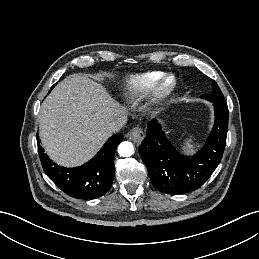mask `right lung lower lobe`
<instances>
[{
	"instance_id": "98d812e1",
	"label": "right lung lower lobe",
	"mask_w": 259,
	"mask_h": 259,
	"mask_svg": "<svg viewBox=\"0 0 259 259\" xmlns=\"http://www.w3.org/2000/svg\"><path fill=\"white\" fill-rule=\"evenodd\" d=\"M122 134L113 135L86 164L64 168L54 163L44 153L37 137L38 153L45 173L67 195L77 199H95L111 187L114 176V154L122 141Z\"/></svg>"
}]
</instances>
